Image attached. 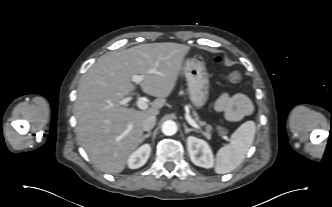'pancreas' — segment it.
Here are the masks:
<instances>
[{
	"label": "pancreas",
	"mask_w": 332,
	"mask_h": 207,
	"mask_svg": "<svg viewBox=\"0 0 332 207\" xmlns=\"http://www.w3.org/2000/svg\"><path fill=\"white\" fill-rule=\"evenodd\" d=\"M193 115H194L195 120L198 121L199 117H198L197 113L193 112ZM198 122H199L200 125H206V123L203 122V121H198ZM205 128H206V132L204 133V135H205L206 138L209 139L210 136H211L212 127L210 125H206Z\"/></svg>",
	"instance_id": "cf45deb5"
}]
</instances>
